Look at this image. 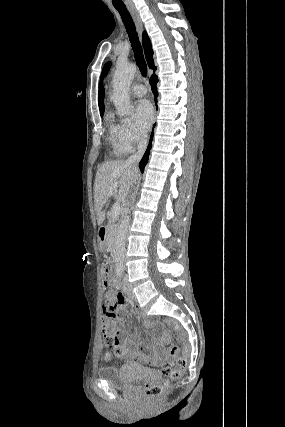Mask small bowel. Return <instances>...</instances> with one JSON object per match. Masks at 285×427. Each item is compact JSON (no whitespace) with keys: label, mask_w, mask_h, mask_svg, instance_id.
<instances>
[{"label":"small bowel","mask_w":285,"mask_h":427,"mask_svg":"<svg viewBox=\"0 0 285 427\" xmlns=\"http://www.w3.org/2000/svg\"><path fill=\"white\" fill-rule=\"evenodd\" d=\"M116 309H119V311L116 313V324L120 327L124 325L125 322V316L127 313V310L130 309L133 311V309L130 307V302L122 293H119L116 298ZM104 310V316H105V309ZM104 321V319H103ZM123 345H124V351L116 356V358L120 361H127V362H144L146 361V354L147 352L141 351L138 343L136 342L133 334L127 330H123Z\"/></svg>","instance_id":"small-bowel-1"}]
</instances>
